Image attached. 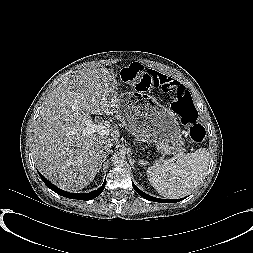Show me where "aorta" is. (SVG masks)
Masks as SVG:
<instances>
[{
	"instance_id": "762f6f07",
	"label": "aorta",
	"mask_w": 253,
	"mask_h": 253,
	"mask_svg": "<svg viewBox=\"0 0 253 253\" xmlns=\"http://www.w3.org/2000/svg\"><path fill=\"white\" fill-rule=\"evenodd\" d=\"M113 164L115 167H123L126 164V160L122 156H116L113 159Z\"/></svg>"
}]
</instances>
